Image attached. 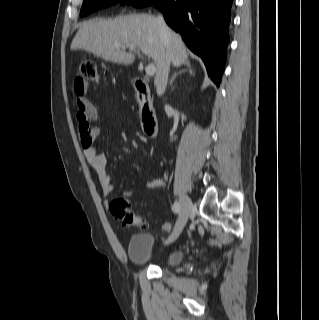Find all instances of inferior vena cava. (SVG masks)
Segmentation results:
<instances>
[{
    "label": "inferior vena cava",
    "instance_id": "inferior-vena-cava-1",
    "mask_svg": "<svg viewBox=\"0 0 319 320\" xmlns=\"http://www.w3.org/2000/svg\"><path fill=\"white\" fill-rule=\"evenodd\" d=\"M157 21L160 25V32L161 36L167 40L170 39L171 37V32L170 29L167 27L164 18L162 16L157 17ZM172 61V54L170 48H167V55H166V60L163 66L162 74L159 79L158 84L156 85V91L158 95H162L165 92L166 86H167V81H168V75L170 71V64Z\"/></svg>",
    "mask_w": 319,
    "mask_h": 320
}]
</instances>
